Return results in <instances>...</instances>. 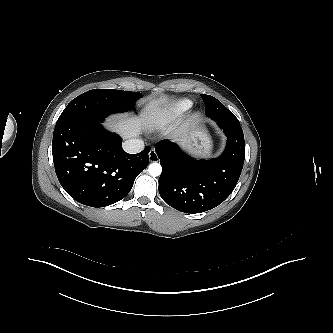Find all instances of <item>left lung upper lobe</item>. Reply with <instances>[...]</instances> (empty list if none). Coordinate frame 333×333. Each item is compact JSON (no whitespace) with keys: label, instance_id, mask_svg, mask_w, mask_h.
<instances>
[{"label":"left lung upper lobe","instance_id":"5c2ea615","mask_svg":"<svg viewBox=\"0 0 333 333\" xmlns=\"http://www.w3.org/2000/svg\"><path fill=\"white\" fill-rule=\"evenodd\" d=\"M201 97L205 103L206 116L210 117L211 119H221L239 122L238 119L233 115V113L229 111L216 98L206 94H202Z\"/></svg>","mask_w":333,"mask_h":333}]
</instances>
